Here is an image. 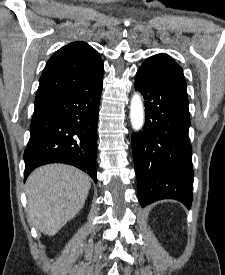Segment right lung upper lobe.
<instances>
[{
	"mask_svg": "<svg viewBox=\"0 0 225 275\" xmlns=\"http://www.w3.org/2000/svg\"><path fill=\"white\" fill-rule=\"evenodd\" d=\"M102 75L99 53L85 42L70 43L48 60L35 101L69 91L92 90Z\"/></svg>",
	"mask_w": 225,
	"mask_h": 275,
	"instance_id": "obj_1",
	"label": "right lung upper lobe"
}]
</instances>
